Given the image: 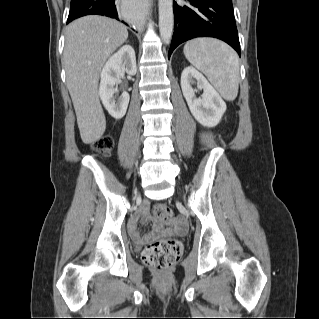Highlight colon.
Segmentation results:
<instances>
[{
  "instance_id": "1",
  "label": "colon",
  "mask_w": 319,
  "mask_h": 319,
  "mask_svg": "<svg viewBox=\"0 0 319 319\" xmlns=\"http://www.w3.org/2000/svg\"><path fill=\"white\" fill-rule=\"evenodd\" d=\"M113 147L111 137H103L94 144V148L98 152H108ZM152 216L158 220H169L173 217L171 209L159 204L153 207ZM183 250L182 243L177 239H163L146 245L142 252V260L144 264L160 275L166 273L181 257Z\"/></svg>"
}]
</instances>
